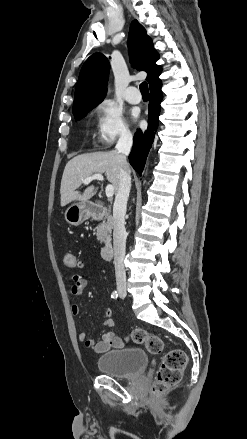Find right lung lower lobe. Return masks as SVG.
Listing matches in <instances>:
<instances>
[{
  "instance_id": "98d812e1",
  "label": "right lung lower lobe",
  "mask_w": 247,
  "mask_h": 439,
  "mask_svg": "<svg viewBox=\"0 0 247 439\" xmlns=\"http://www.w3.org/2000/svg\"><path fill=\"white\" fill-rule=\"evenodd\" d=\"M151 98L148 113V129L142 133L137 130L133 138V148L129 155V162L137 173L141 175L146 157L152 146L154 135L158 126L160 101L162 99L161 84L150 89Z\"/></svg>"
}]
</instances>
